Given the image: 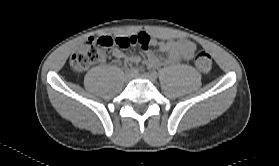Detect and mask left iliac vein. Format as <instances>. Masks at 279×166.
I'll use <instances>...</instances> for the list:
<instances>
[{
	"mask_svg": "<svg viewBox=\"0 0 279 166\" xmlns=\"http://www.w3.org/2000/svg\"><path fill=\"white\" fill-rule=\"evenodd\" d=\"M135 77L148 79L153 83L156 81V77L149 73L137 74V75H135Z\"/></svg>",
	"mask_w": 279,
	"mask_h": 166,
	"instance_id": "obj_1",
	"label": "left iliac vein"
}]
</instances>
